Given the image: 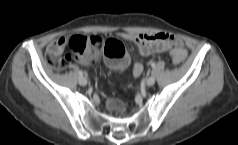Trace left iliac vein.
<instances>
[{"instance_id":"left-iliac-vein-1","label":"left iliac vein","mask_w":238,"mask_h":145,"mask_svg":"<svg viewBox=\"0 0 238 145\" xmlns=\"http://www.w3.org/2000/svg\"><path fill=\"white\" fill-rule=\"evenodd\" d=\"M145 83L147 86H153L155 84V78L153 76L148 77Z\"/></svg>"}]
</instances>
